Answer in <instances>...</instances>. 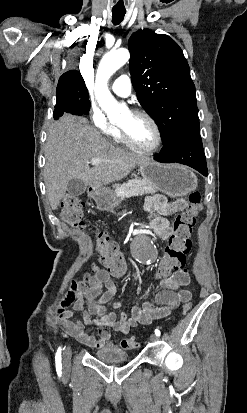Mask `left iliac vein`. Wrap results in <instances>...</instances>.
Segmentation results:
<instances>
[{
    "label": "left iliac vein",
    "instance_id": "1",
    "mask_svg": "<svg viewBox=\"0 0 247 413\" xmlns=\"http://www.w3.org/2000/svg\"><path fill=\"white\" fill-rule=\"evenodd\" d=\"M158 339V337L154 334L150 335V341L155 342Z\"/></svg>",
    "mask_w": 247,
    "mask_h": 413
}]
</instances>
